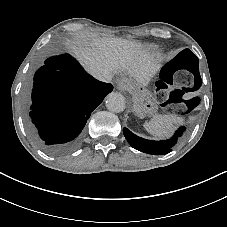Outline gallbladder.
I'll return each mask as SVG.
<instances>
[{"label":"gallbladder","instance_id":"bac80fb5","mask_svg":"<svg viewBox=\"0 0 227 227\" xmlns=\"http://www.w3.org/2000/svg\"><path fill=\"white\" fill-rule=\"evenodd\" d=\"M26 92H27V97H28V99H29V92H30V90H29V86L27 87Z\"/></svg>","mask_w":227,"mask_h":227}]
</instances>
